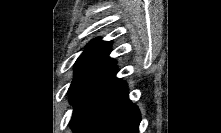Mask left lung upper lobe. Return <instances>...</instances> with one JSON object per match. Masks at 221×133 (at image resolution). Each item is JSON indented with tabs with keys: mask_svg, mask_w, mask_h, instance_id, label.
<instances>
[{
	"mask_svg": "<svg viewBox=\"0 0 221 133\" xmlns=\"http://www.w3.org/2000/svg\"><path fill=\"white\" fill-rule=\"evenodd\" d=\"M110 42L94 39L77 59L75 78L68 90L71 104L95 79L112 68L116 61L109 58Z\"/></svg>",
	"mask_w": 221,
	"mask_h": 133,
	"instance_id": "left-lung-upper-lobe-1",
	"label": "left lung upper lobe"
}]
</instances>
